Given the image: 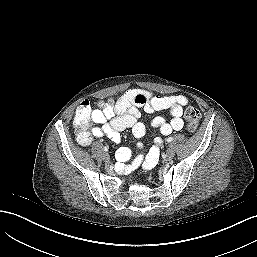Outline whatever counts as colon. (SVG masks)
Segmentation results:
<instances>
[{
    "label": "colon",
    "mask_w": 257,
    "mask_h": 257,
    "mask_svg": "<svg viewBox=\"0 0 257 257\" xmlns=\"http://www.w3.org/2000/svg\"><path fill=\"white\" fill-rule=\"evenodd\" d=\"M104 107H113L114 100H109L107 103L101 104ZM77 121L80 128L85 127L90 122L91 107L87 100L82 101L78 106ZM200 111L195 107H188L184 112V118L186 120V128L189 132L196 131L200 120Z\"/></svg>",
    "instance_id": "5ec220e1"
}]
</instances>
